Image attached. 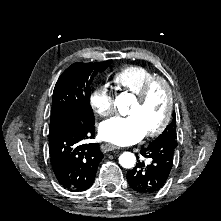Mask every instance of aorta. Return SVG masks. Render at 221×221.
<instances>
[{"mask_svg": "<svg viewBox=\"0 0 221 221\" xmlns=\"http://www.w3.org/2000/svg\"><path fill=\"white\" fill-rule=\"evenodd\" d=\"M115 101L118 110L121 111L132 103L133 98L129 93H121ZM119 163L124 168H133L136 163V157L131 152H124L119 156Z\"/></svg>", "mask_w": 221, "mask_h": 221, "instance_id": "762f6f07", "label": "aorta"}]
</instances>
